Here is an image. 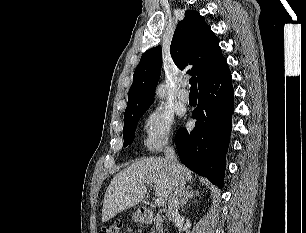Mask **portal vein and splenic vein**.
<instances>
[{
    "label": "portal vein and splenic vein",
    "instance_id": "obj_1",
    "mask_svg": "<svg viewBox=\"0 0 306 233\" xmlns=\"http://www.w3.org/2000/svg\"><path fill=\"white\" fill-rule=\"evenodd\" d=\"M155 204L157 205V206H163L164 204H165V200L164 199H162V198H157L156 200H155Z\"/></svg>",
    "mask_w": 306,
    "mask_h": 233
}]
</instances>
